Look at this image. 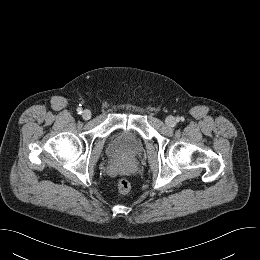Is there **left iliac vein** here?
I'll use <instances>...</instances> for the list:
<instances>
[{"label": "left iliac vein", "instance_id": "left-iliac-vein-1", "mask_svg": "<svg viewBox=\"0 0 260 260\" xmlns=\"http://www.w3.org/2000/svg\"><path fill=\"white\" fill-rule=\"evenodd\" d=\"M165 122H166V125L169 126V127H173L176 124V120L173 116H168L166 118Z\"/></svg>", "mask_w": 260, "mask_h": 260}]
</instances>
